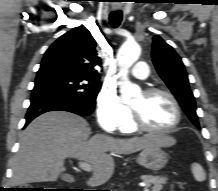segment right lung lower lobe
I'll return each instance as SVG.
<instances>
[{"mask_svg": "<svg viewBox=\"0 0 218 191\" xmlns=\"http://www.w3.org/2000/svg\"><path fill=\"white\" fill-rule=\"evenodd\" d=\"M94 107L95 105L83 103L78 99L70 98L59 92L39 91L31 96V104L26 114L25 126L37 116L48 111L61 110L88 116L93 112Z\"/></svg>", "mask_w": 218, "mask_h": 191, "instance_id": "98d812e1", "label": "right lung lower lobe"}]
</instances>
